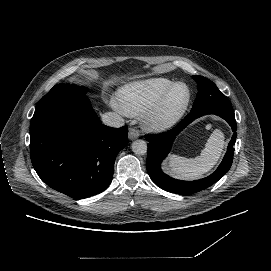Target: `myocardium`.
I'll return each instance as SVG.
<instances>
[{
	"label": "myocardium",
	"mask_w": 271,
	"mask_h": 271,
	"mask_svg": "<svg viewBox=\"0 0 271 271\" xmlns=\"http://www.w3.org/2000/svg\"><path fill=\"white\" fill-rule=\"evenodd\" d=\"M185 85L188 88V97L186 101L177 109L168 111L169 101L174 90ZM193 99V90L185 81L174 82L162 98L150 110L147 111L144 124L151 130L162 131L170 128L177 123L188 110Z\"/></svg>",
	"instance_id": "obj_1"
}]
</instances>
